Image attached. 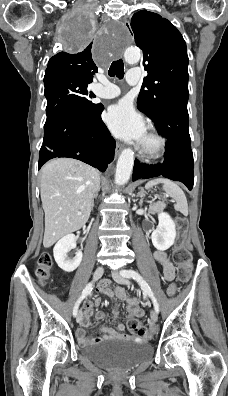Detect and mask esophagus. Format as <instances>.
<instances>
[{
    "instance_id": "obj_1",
    "label": "esophagus",
    "mask_w": 228,
    "mask_h": 396,
    "mask_svg": "<svg viewBox=\"0 0 228 396\" xmlns=\"http://www.w3.org/2000/svg\"><path fill=\"white\" fill-rule=\"evenodd\" d=\"M121 150H122V145L120 143H117L116 144V155H118Z\"/></svg>"
}]
</instances>
